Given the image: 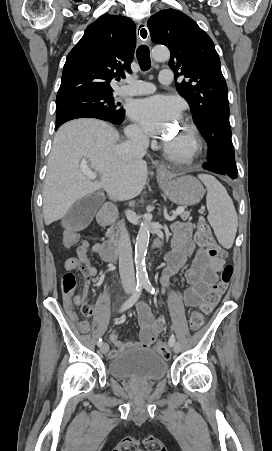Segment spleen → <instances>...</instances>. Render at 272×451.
<instances>
[{
  "mask_svg": "<svg viewBox=\"0 0 272 451\" xmlns=\"http://www.w3.org/2000/svg\"><path fill=\"white\" fill-rule=\"evenodd\" d=\"M199 180L207 188L206 206L208 222L221 245L230 249L235 239L238 218L233 202L227 194L226 188L209 174H199Z\"/></svg>",
  "mask_w": 272,
  "mask_h": 451,
  "instance_id": "obj_1",
  "label": "spleen"
}]
</instances>
